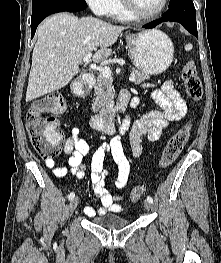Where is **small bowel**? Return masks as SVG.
Wrapping results in <instances>:
<instances>
[{
	"instance_id": "small-bowel-1",
	"label": "small bowel",
	"mask_w": 221,
	"mask_h": 263,
	"mask_svg": "<svg viewBox=\"0 0 221 263\" xmlns=\"http://www.w3.org/2000/svg\"><path fill=\"white\" fill-rule=\"evenodd\" d=\"M144 87L152 88L151 85H145ZM150 97L164 111L147 113L131 127L129 142L134 157L141 154L140 141L142 136H148L152 142L157 141L168 121L180 120L187 113V104L171 81H166L160 88H153ZM128 127H125L124 130L126 131ZM80 132L81 126L73 127L64 145V153L68 156L69 168L57 167L51 159L45 161L46 166L52 169L56 177L73 176L77 179H83L85 177L83 157L91 153V189L94 196L100 200L101 206L97 211L92 207H86L84 213L89 217H93L96 213L103 215L108 211H122L124 207L120 203V198L111 195L105 186L104 160L107 154L112 156L118 168L114 185L118 189H123L127 185L130 174L132 163L130 152L120 137H114L109 143H104L94 149L92 144L79 137Z\"/></svg>"
}]
</instances>
